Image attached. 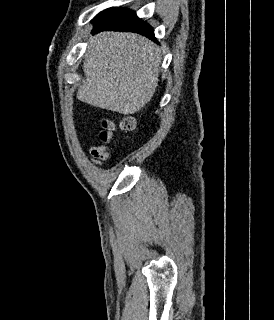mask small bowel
<instances>
[{
  "mask_svg": "<svg viewBox=\"0 0 274 320\" xmlns=\"http://www.w3.org/2000/svg\"><path fill=\"white\" fill-rule=\"evenodd\" d=\"M89 151L90 153H94L92 162L96 165H101V163H112L113 161L112 156H109L108 152H104L106 151V148L103 146H90ZM96 159H100L101 162Z\"/></svg>",
  "mask_w": 274,
  "mask_h": 320,
  "instance_id": "c3829d8e",
  "label": "small bowel"
}]
</instances>
